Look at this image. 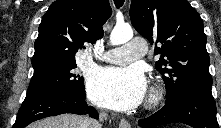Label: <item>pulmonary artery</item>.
<instances>
[{"mask_svg":"<svg viewBox=\"0 0 221 128\" xmlns=\"http://www.w3.org/2000/svg\"><path fill=\"white\" fill-rule=\"evenodd\" d=\"M146 49V42L142 39H136L105 52L102 56V60L115 64L130 63L140 57Z\"/></svg>","mask_w":221,"mask_h":128,"instance_id":"1","label":"pulmonary artery"}]
</instances>
